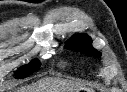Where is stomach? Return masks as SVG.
<instances>
[{
  "instance_id": "1",
  "label": "stomach",
  "mask_w": 127,
  "mask_h": 92,
  "mask_svg": "<svg viewBox=\"0 0 127 92\" xmlns=\"http://www.w3.org/2000/svg\"><path fill=\"white\" fill-rule=\"evenodd\" d=\"M83 92H92V91H89V90H87V89H84V90H82Z\"/></svg>"
}]
</instances>
